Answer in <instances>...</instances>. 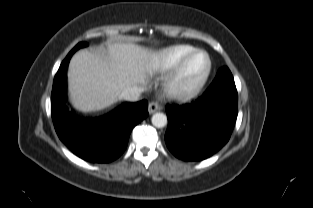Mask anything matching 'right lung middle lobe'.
<instances>
[{
    "label": "right lung middle lobe",
    "instance_id": "right-lung-middle-lobe-1",
    "mask_svg": "<svg viewBox=\"0 0 313 208\" xmlns=\"http://www.w3.org/2000/svg\"><path fill=\"white\" fill-rule=\"evenodd\" d=\"M87 44L85 43V42H82V43H79V44H77L73 49H72V51H75V50H77V49H79V48H81V47H84V46H86Z\"/></svg>",
    "mask_w": 313,
    "mask_h": 208
}]
</instances>
